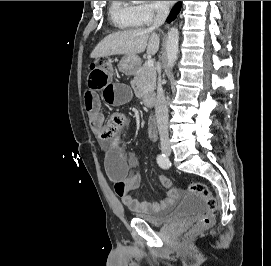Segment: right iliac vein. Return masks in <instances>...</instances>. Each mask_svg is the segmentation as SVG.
Here are the masks:
<instances>
[{
    "label": "right iliac vein",
    "instance_id": "right-iliac-vein-1",
    "mask_svg": "<svg viewBox=\"0 0 271 266\" xmlns=\"http://www.w3.org/2000/svg\"><path fill=\"white\" fill-rule=\"evenodd\" d=\"M161 150L165 155L169 156L171 154L170 143L169 142H162L161 143Z\"/></svg>",
    "mask_w": 271,
    "mask_h": 266
}]
</instances>
